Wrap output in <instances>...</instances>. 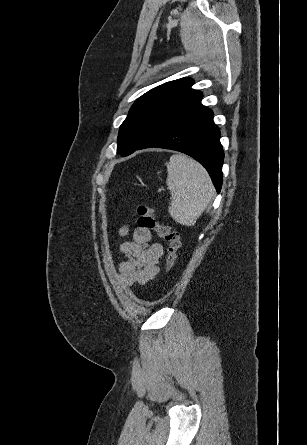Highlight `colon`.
<instances>
[{
	"label": "colon",
	"instance_id": "obj_1",
	"mask_svg": "<svg viewBox=\"0 0 307 445\" xmlns=\"http://www.w3.org/2000/svg\"><path fill=\"white\" fill-rule=\"evenodd\" d=\"M138 212V227L155 232L167 243L166 270L170 271L176 263L181 245L179 233L170 226L161 224L156 220L153 206L141 205Z\"/></svg>",
	"mask_w": 307,
	"mask_h": 445
}]
</instances>
